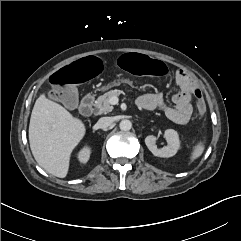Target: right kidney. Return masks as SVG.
<instances>
[{
	"label": "right kidney",
	"mask_w": 241,
	"mask_h": 241,
	"mask_svg": "<svg viewBox=\"0 0 241 241\" xmlns=\"http://www.w3.org/2000/svg\"><path fill=\"white\" fill-rule=\"evenodd\" d=\"M90 153L91 150L88 146L83 147L77 155V158L80 161V163L85 164L89 160Z\"/></svg>",
	"instance_id": "right-kidney-1"
}]
</instances>
